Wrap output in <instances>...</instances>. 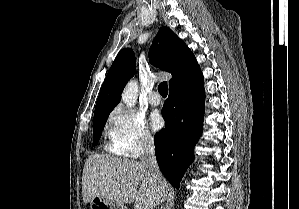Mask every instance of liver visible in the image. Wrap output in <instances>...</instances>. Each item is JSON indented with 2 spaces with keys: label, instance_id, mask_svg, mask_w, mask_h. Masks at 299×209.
<instances>
[{
  "label": "liver",
  "instance_id": "1",
  "mask_svg": "<svg viewBox=\"0 0 299 209\" xmlns=\"http://www.w3.org/2000/svg\"><path fill=\"white\" fill-rule=\"evenodd\" d=\"M169 184L153 179L142 163L135 160L94 154L84 165L82 195L85 203L103 197L119 205L134 202L135 209H153L164 199Z\"/></svg>",
  "mask_w": 299,
  "mask_h": 209
}]
</instances>
